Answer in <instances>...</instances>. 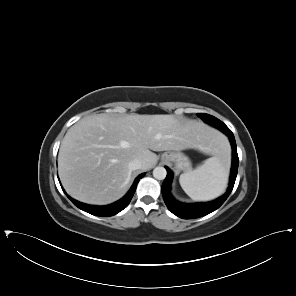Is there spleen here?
I'll return each mask as SVG.
<instances>
[{
  "instance_id": "1",
  "label": "spleen",
  "mask_w": 296,
  "mask_h": 296,
  "mask_svg": "<svg viewBox=\"0 0 296 296\" xmlns=\"http://www.w3.org/2000/svg\"><path fill=\"white\" fill-rule=\"evenodd\" d=\"M214 155L194 170L180 175L182 189L193 200H211L220 196L226 189L230 157L224 139L218 143Z\"/></svg>"
}]
</instances>
